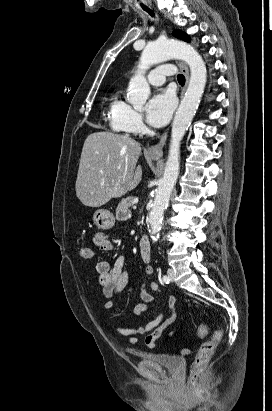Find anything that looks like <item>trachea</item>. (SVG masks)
Segmentation results:
<instances>
[{"label": "trachea", "instance_id": "obj_1", "mask_svg": "<svg viewBox=\"0 0 272 411\" xmlns=\"http://www.w3.org/2000/svg\"><path fill=\"white\" fill-rule=\"evenodd\" d=\"M144 11L148 12L151 16H154V12L149 9L148 7H142ZM177 80L180 84L184 85L185 84V77L182 74H179L177 76Z\"/></svg>", "mask_w": 272, "mask_h": 411}]
</instances>
